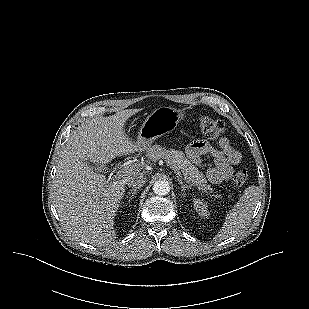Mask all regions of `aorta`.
I'll use <instances>...</instances> for the list:
<instances>
[{
  "mask_svg": "<svg viewBox=\"0 0 309 309\" xmlns=\"http://www.w3.org/2000/svg\"><path fill=\"white\" fill-rule=\"evenodd\" d=\"M153 191L159 196L167 195L170 191V185L167 181H156L153 185Z\"/></svg>",
  "mask_w": 309,
  "mask_h": 309,
  "instance_id": "aorta-1",
  "label": "aorta"
}]
</instances>
